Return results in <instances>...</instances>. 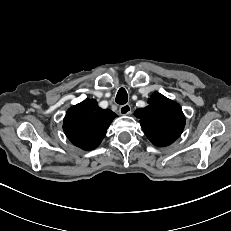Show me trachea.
<instances>
[{"instance_id":"obj_1","label":"trachea","mask_w":231,"mask_h":231,"mask_svg":"<svg viewBox=\"0 0 231 231\" xmlns=\"http://www.w3.org/2000/svg\"><path fill=\"white\" fill-rule=\"evenodd\" d=\"M128 101V94L124 88H120L117 96H116V103L123 105L126 104Z\"/></svg>"}]
</instances>
